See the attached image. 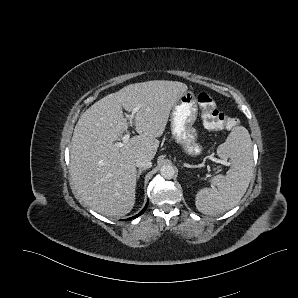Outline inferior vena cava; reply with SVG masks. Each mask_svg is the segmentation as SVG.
<instances>
[{
    "instance_id": "obj_1",
    "label": "inferior vena cava",
    "mask_w": 298,
    "mask_h": 298,
    "mask_svg": "<svg viewBox=\"0 0 298 298\" xmlns=\"http://www.w3.org/2000/svg\"><path fill=\"white\" fill-rule=\"evenodd\" d=\"M135 165L138 168L149 169L152 167V161L146 157H139L136 159Z\"/></svg>"
}]
</instances>
